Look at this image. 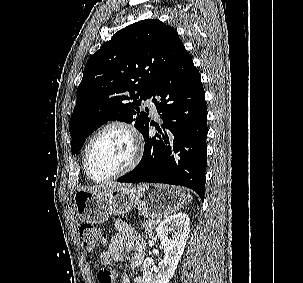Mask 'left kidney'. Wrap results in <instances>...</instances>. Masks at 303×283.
Instances as JSON below:
<instances>
[{
  "label": "left kidney",
  "instance_id": "5707ae66",
  "mask_svg": "<svg viewBox=\"0 0 303 283\" xmlns=\"http://www.w3.org/2000/svg\"><path fill=\"white\" fill-rule=\"evenodd\" d=\"M190 220L187 214L179 213L163 220L156 236L160 239L165 257L155 266L152 258H146L143 263L144 283H169L183 255L190 231ZM171 236H168L169 233Z\"/></svg>",
  "mask_w": 303,
  "mask_h": 283
}]
</instances>
